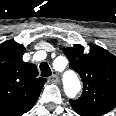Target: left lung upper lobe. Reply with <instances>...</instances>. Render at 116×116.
<instances>
[{"label":"left lung upper lobe","mask_w":116,"mask_h":116,"mask_svg":"<svg viewBox=\"0 0 116 116\" xmlns=\"http://www.w3.org/2000/svg\"><path fill=\"white\" fill-rule=\"evenodd\" d=\"M63 52L83 82L82 96L70 100L74 111L105 114L116 107V57L97 45L84 52L82 45L75 44Z\"/></svg>","instance_id":"1"}]
</instances>
